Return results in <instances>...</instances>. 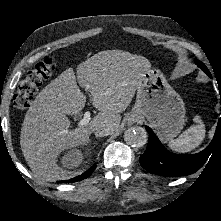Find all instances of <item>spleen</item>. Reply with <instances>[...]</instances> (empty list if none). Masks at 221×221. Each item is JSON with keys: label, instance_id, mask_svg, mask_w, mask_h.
Instances as JSON below:
<instances>
[{"label": "spleen", "instance_id": "3e777b00", "mask_svg": "<svg viewBox=\"0 0 221 221\" xmlns=\"http://www.w3.org/2000/svg\"><path fill=\"white\" fill-rule=\"evenodd\" d=\"M196 125L190 126L178 138L171 139L168 146L175 152L186 153L198 147L205 138V125L201 117L196 115L193 119Z\"/></svg>", "mask_w": 221, "mask_h": 221}]
</instances>
